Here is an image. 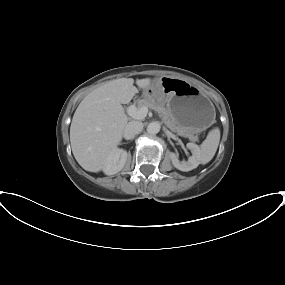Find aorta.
<instances>
[{"label":"aorta","mask_w":285,"mask_h":285,"mask_svg":"<svg viewBox=\"0 0 285 285\" xmlns=\"http://www.w3.org/2000/svg\"><path fill=\"white\" fill-rule=\"evenodd\" d=\"M160 123L158 122H151L148 126H147V132L149 134L155 135L160 131Z\"/></svg>","instance_id":"762f6f07"}]
</instances>
